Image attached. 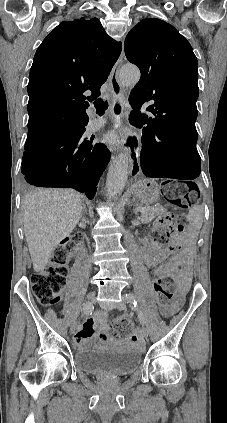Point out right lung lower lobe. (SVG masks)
Masks as SVG:
<instances>
[{
	"instance_id": "1",
	"label": "right lung lower lobe",
	"mask_w": 227,
	"mask_h": 423,
	"mask_svg": "<svg viewBox=\"0 0 227 423\" xmlns=\"http://www.w3.org/2000/svg\"><path fill=\"white\" fill-rule=\"evenodd\" d=\"M59 114L54 107L40 106L29 119L35 120ZM76 124L53 139L25 149L22 173L26 181L37 187L73 188L92 199L100 175L109 162L110 152L102 144L93 145L85 137L88 124L86 112Z\"/></svg>"
}]
</instances>
